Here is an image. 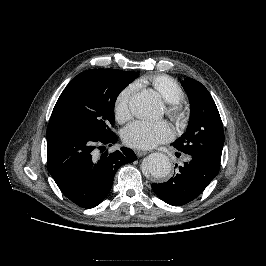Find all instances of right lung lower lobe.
<instances>
[{"mask_svg": "<svg viewBox=\"0 0 266 266\" xmlns=\"http://www.w3.org/2000/svg\"><path fill=\"white\" fill-rule=\"evenodd\" d=\"M115 133L96 136L81 130L49 126L47 129L48 170L61 192L82 208H93L108 195L116 171L137 159L126 147L120 151L102 153L96 158V149L112 146Z\"/></svg>", "mask_w": 266, "mask_h": 266, "instance_id": "98d812e1", "label": "right lung lower lobe"}]
</instances>
